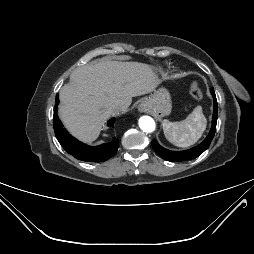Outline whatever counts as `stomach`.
I'll list each match as a JSON object with an SVG mask.
<instances>
[{
	"instance_id": "0dacf381",
	"label": "stomach",
	"mask_w": 254,
	"mask_h": 254,
	"mask_svg": "<svg viewBox=\"0 0 254 254\" xmlns=\"http://www.w3.org/2000/svg\"><path fill=\"white\" fill-rule=\"evenodd\" d=\"M148 111L157 117L167 116L171 113L172 104L170 93L165 88L155 90L153 94L144 99Z\"/></svg>"
}]
</instances>
